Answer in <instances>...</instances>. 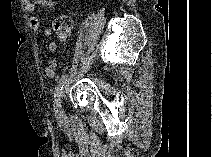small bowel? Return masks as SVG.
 Listing matches in <instances>:
<instances>
[{
  "mask_svg": "<svg viewBox=\"0 0 212 157\" xmlns=\"http://www.w3.org/2000/svg\"><path fill=\"white\" fill-rule=\"evenodd\" d=\"M37 4L52 12L57 10L55 2L52 0H24L23 7L27 12H33ZM30 27L33 31H37L40 28V20L37 16L30 18ZM42 32L45 37H50L52 34V30L49 27H45ZM57 48L55 42H50L48 45V49L51 53H55ZM56 68L57 61L55 59L49 60L45 68V76L52 79L55 76Z\"/></svg>",
  "mask_w": 212,
  "mask_h": 157,
  "instance_id": "1",
  "label": "small bowel"
}]
</instances>
